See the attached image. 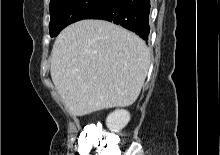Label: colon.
<instances>
[{
	"label": "colon",
	"mask_w": 220,
	"mask_h": 155,
	"mask_svg": "<svg viewBox=\"0 0 220 155\" xmlns=\"http://www.w3.org/2000/svg\"><path fill=\"white\" fill-rule=\"evenodd\" d=\"M79 151L82 155H114V144L105 135L90 129L79 139Z\"/></svg>",
	"instance_id": "1"
}]
</instances>
